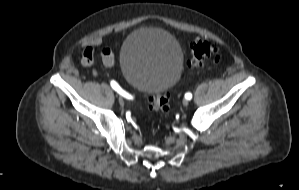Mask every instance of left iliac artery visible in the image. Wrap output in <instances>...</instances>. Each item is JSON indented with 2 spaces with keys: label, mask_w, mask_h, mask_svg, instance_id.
<instances>
[{
  "label": "left iliac artery",
  "mask_w": 299,
  "mask_h": 190,
  "mask_svg": "<svg viewBox=\"0 0 299 190\" xmlns=\"http://www.w3.org/2000/svg\"><path fill=\"white\" fill-rule=\"evenodd\" d=\"M185 98L187 99V100H190L191 98H192V94L191 93H186L185 94Z\"/></svg>",
  "instance_id": "44dca946"
}]
</instances>
